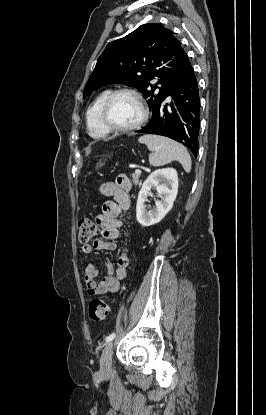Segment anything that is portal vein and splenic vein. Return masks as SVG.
Returning <instances> with one entry per match:
<instances>
[{"label":"portal vein and splenic vein","mask_w":266,"mask_h":415,"mask_svg":"<svg viewBox=\"0 0 266 415\" xmlns=\"http://www.w3.org/2000/svg\"><path fill=\"white\" fill-rule=\"evenodd\" d=\"M135 173H136V174H140V173H141V170H140V169H136V170H135Z\"/></svg>","instance_id":"1"}]
</instances>
